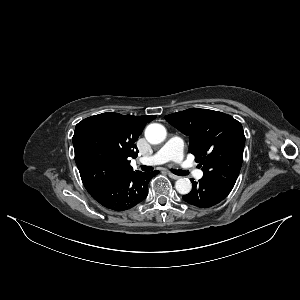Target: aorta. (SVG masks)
Wrapping results in <instances>:
<instances>
[{
	"instance_id": "1",
	"label": "aorta",
	"mask_w": 300,
	"mask_h": 300,
	"mask_svg": "<svg viewBox=\"0 0 300 300\" xmlns=\"http://www.w3.org/2000/svg\"><path fill=\"white\" fill-rule=\"evenodd\" d=\"M167 132L163 125L152 123L145 129V138L151 144H159L166 138ZM175 188L180 194H188L192 189V183L188 178H180L175 183Z\"/></svg>"
}]
</instances>
